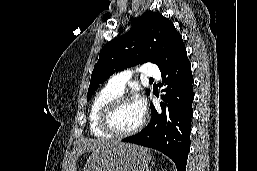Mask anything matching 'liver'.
Wrapping results in <instances>:
<instances>
[{"instance_id":"liver-1","label":"liver","mask_w":257,"mask_h":171,"mask_svg":"<svg viewBox=\"0 0 257 171\" xmlns=\"http://www.w3.org/2000/svg\"><path fill=\"white\" fill-rule=\"evenodd\" d=\"M115 141H106V140H99V139H87L83 140L81 143V146H79L74 155L70 157L68 162V170L67 171H76V160L80 154L86 151H96L102 148H106L112 144H114Z\"/></svg>"}]
</instances>
